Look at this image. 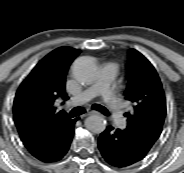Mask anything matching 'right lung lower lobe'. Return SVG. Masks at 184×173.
Wrapping results in <instances>:
<instances>
[{
    "label": "right lung lower lobe",
    "instance_id": "1",
    "mask_svg": "<svg viewBox=\"0 0 184 173\" xmlns=\"http://www.w3.org/2000/svg\"><path fill=\"white\" fill-rule=\"evenodd\" d=\"M76 120L67 119L49 127L20 135L25 147L43 161L62 159L69 151Z\"/></svg>",
    "mask_w": 184,
    "mask_h": 173
}]
</instances>
